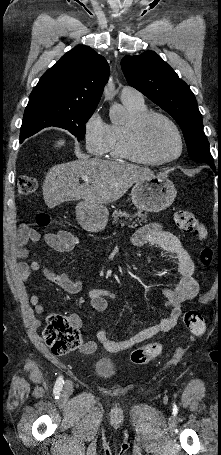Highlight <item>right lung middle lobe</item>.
Here are the masks:
<instances>
[{"label": "right lung middle lobe", "instance_id": "right-lung-middle-lobe-1", "mask_svg": "<svg viewBox=\"0 0 221 455\" xmlns=\"http://www.w3.org/2000/svg\"><path fill=\"white\" fill-rule=\"evenodd\" d=\"M95 109L68 108L47 104L28 105L20 130V142L49 126L60 127L82 140L85 124Z\"/></svg>", "mask_w": 221, "mask_h": 455}]
</instances>
